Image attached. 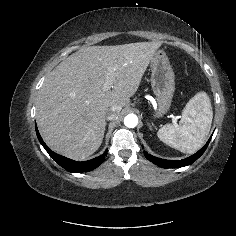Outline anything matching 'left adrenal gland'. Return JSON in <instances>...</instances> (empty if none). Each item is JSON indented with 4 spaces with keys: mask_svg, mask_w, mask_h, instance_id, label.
I'll use <instances>...</instances> for the list:
<instances>
[{
    "mask_svg": "<svg viewBox=\"0 0 236 236\" xmlns=\"http://www.w3.org/2000/svg\"><path fill=\"white\" fill-rule=\"evenodd\" d=\"M147 124H148L149 128L151 129V125L149 123H147Z\"/></svg>",
    "mask_w": 236,
    "mask_h": 236,
    "instance_id": "obj_1",
    "label": "left adrenal gland"
}]
</instances>
